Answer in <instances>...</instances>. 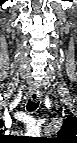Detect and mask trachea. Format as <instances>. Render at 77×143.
Returning a JSON list of instances; mask_svg holds the SVG:
<instances>
[{
	"label": "trachea",
	"instance_id": "trachea-1",
	"mask_svg": "<svg viewBox=\"0 0 77 143\" xmlns=\"http://www.w3.org/2000/svg\"><path fill=\"white\" fill-rule=\"evenodd\" d=\"M38 105H39V102H34V101L29 100L27 103V111L28 112L35 111L37 109Z\"/></svg>",
	"mask_w": 77,
	"mask_h": 143
}]
</instances>
